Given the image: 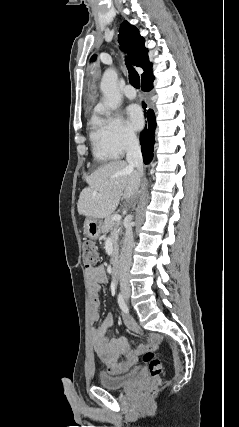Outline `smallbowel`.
I'll list each match as a JSON object with an SVG mask.
<instances>
[{
  "instance_id": "c3829d8e",
  "label": "small bowel",
  "mask_w": 239,
  "mask_h": 427,
  "mask_svg": "<svg viewBox=\"0 0 239 427\" xmlns=\"http://www.w3.org/2000/svg\"><path fill=\"white\" fill-rule=\"evenodd\" d=\"M86 275L90 287V320L95 323L99 320L100 300L98 293L108 279L106 271L101 265L88 268ZM112 320V315L107 314L102 323L92 329L91 336L94 351L99 360L107 366L108 373L119 375L129 371L142 352L148 349H156L160 337L156 334L150 335L145 343H141L132 349L125 338H107L106 329ZM123 320L125 327L131 333L137 336L142 335V330L130 316L123 315Z\"/></svg>"
}]
</instances>
